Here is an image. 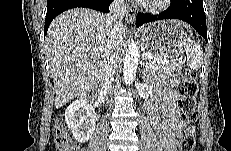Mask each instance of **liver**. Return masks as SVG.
Masks as SVG:
<instances>
[{"label":"liver","instance_id":"liver-1","mask_svg":"<svg viewBox=\"0 0 231 151\" xmlns=\"http://www.w3.org/2000/svg\"><path fill=\"white\" fill-rule=\"evenodd\" d=\"M108 40L107 15L95 10L74 8L52 21L45 38V50L56 92V108L100 84ZM115 41L122 50L123 28Z\"/></svg>","mask_w":231,"mask_h":151}]
</instances>
